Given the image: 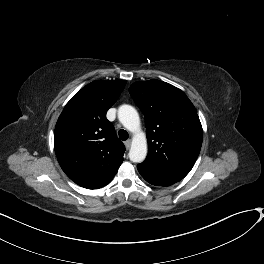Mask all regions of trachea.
<instances>
[{
  "label": "trachea",
  "instance_id": "1",
  "mask_svg": "<svg viewBox=\"0 0 264 264\" xmlns=\"http://www.w3.org/2000/svg\"><path fill=\"white\" fill-rule=\"evenodd\" d=\"M118 135H119V138H120L121 140H123V141L127 140L128 137H129L127 131L124 130V129H120L119 132H118Z\"/></svg>",
  "mask_w": 264,
  "mask_h": 264
}]
</instances>
